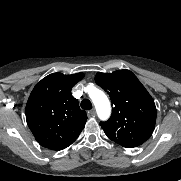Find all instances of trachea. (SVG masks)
<instances>
[{
	"label": "trachea",
	"mask_w": 181,
	"mask_h": 181,
	"mask_svg": "<svg viewBox=\"0 0 181 181\" xmlns=\"http://www.w3.org/2000/svg\"><path fill=\"white\" fill-rule=\"evenodd\" d=\"M81 108L85 110H90L92 109V103L88 99H83L81 101Z\"/></svg>",
	"instance_id": "obj_1"
}]
</instances>
